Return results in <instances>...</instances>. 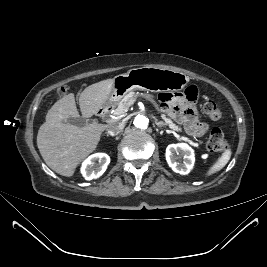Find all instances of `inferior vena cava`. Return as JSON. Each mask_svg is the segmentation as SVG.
Here are the masks:
<instances>
[{
	"instance_id": "1",
	"label": "inferior vena cava",
	"mask_w": 267,
	"mask_h": 267,
	"mask_svg": "<svg viewBox=\"0 0 267 267\" xmlns=\"http://www.w3.org/2000/svg\"><path fill=\"white\" fill-rule=\"evenodd\" d=\"M124 128V124L120 122H114L108 126V133L110 135H117L119 134Z\"/></svg>"
}]
</instances>
